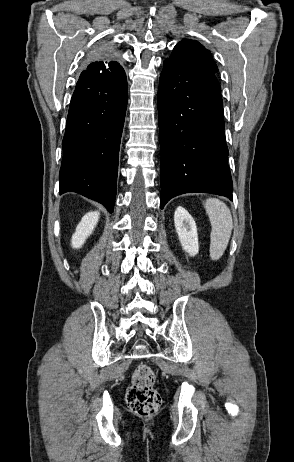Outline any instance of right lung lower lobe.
I'll return each instance as SVG.
<instances>
[{
	"label": "right lung lower lobe",
	"mask_w": 294,
	"mask_h": 462,
	"mask_svg": "<svg viewBox=\"0 0 294 462\" xmlns=\"http://www.w3.org/2000/svg\"><path fill=\"white\" fill-rule=\"evenodd\" d=\"M127 100L125 73L75 88L62 142L60 194L80 193L113 211Z\"/></svg>",
	"instance_id": "obj_1"
}]
</instances>
